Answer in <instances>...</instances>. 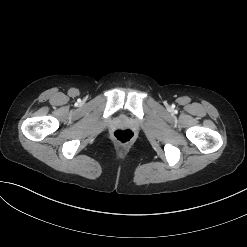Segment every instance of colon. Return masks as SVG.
Segmentation results:
<instances>
[{"label": "colon", "instance_id": "colon-1", "mask_svg": "<svg viewBox=\"0 0 247 247\" xmlns=\"http://www.w3.org/2000/svg\"><path fill=\"white\" fill-rule=\"evenodd\" d=\"M113 135L114 138L122 144L129 143L134 138V132L131 129H117Z\"/></svg>", "mask_w": 247, "mask_h": 247}]
</instances>
